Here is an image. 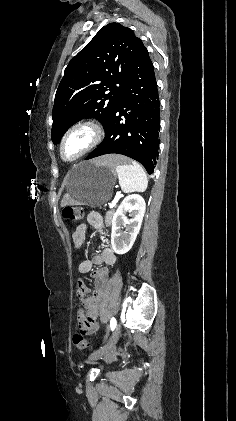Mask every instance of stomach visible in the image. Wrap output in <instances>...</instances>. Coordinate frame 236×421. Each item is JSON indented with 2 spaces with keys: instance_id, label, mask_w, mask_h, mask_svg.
Returning a JSON list of instances; mask_svg holds the SVG:
<instances>
[{
  "instance_id": "1",
  "label": "stomach",
  "mask_w": 236,
  "mask_h": 421,
  "mask_svg": "<svg viewBox=\"0 0 236 421\" xmlns=\"http://www.w3.org/2000/svg\"><path fill=\"white\" fill-rule=\"evenodd\" d=\"M115 178L114 166L83 160L69 170L67 194L73 204L100 206L109 200Z\"/></svg>"
}]
</instances>
